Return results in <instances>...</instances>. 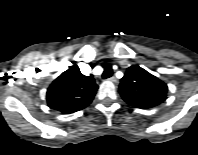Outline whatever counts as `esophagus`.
<instances>
[{
    "instance_id": "34e87169",
    "label": "esophagus",
    "mask_w": 198,
    "mask_h": 155,
    "mask_svg": "<svg viewBox=\"0 0 198 155\" xmlns=\"http://www.w3.org/2000/svg\"><path fill=\"white\" fill-rule=\"evenodd\" d=\"M109 80L112 81V82H116V78L115 77H111V78H109Z\"/></svg>"
}]
</instances>
